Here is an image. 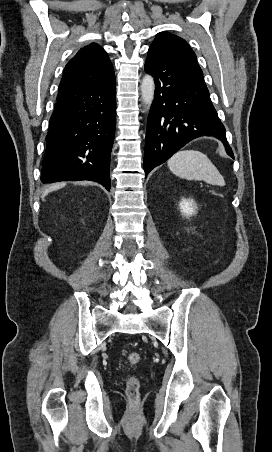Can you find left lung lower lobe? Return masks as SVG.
Instances as JSON below:
<instances>
[{"label": "left lung lower lobe", "mask_w": 272, "mask_h": 452, "mask_svg": "<svg viewBox=\"0 0 272 452\" xmlns=\"http://www.w3.org/2000/svg\"><path fill=\"white\" fill-rule=\"evenodd\" d=\"M145 71L156 85L147 121L145 175L200 136L217 137L234 158L201 71L157 49H149Z\"/></svg>", "instance_id": "0a47b994"}]
</instances>
